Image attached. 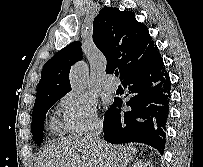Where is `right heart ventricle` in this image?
Returning a JSON list of instances; mask_svg holds the SVG:
<instances>
[{"mask_svg":"<svg viewBox=\"0 0 203 167\" xmlns=\"http://www.w3.org/2000/svg\"><path fill=\"white\" fill-rule=\"evenodd\" d=\"M51 129L56 134H58V133H60L62 131L61 126L55 121L51 122Z\"/></svg>","mask_w":203,"mask_h":167,"instance_id":"1","label":"right heart ventricle"}]
</instances>
